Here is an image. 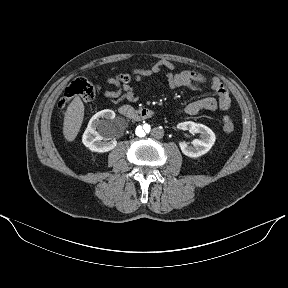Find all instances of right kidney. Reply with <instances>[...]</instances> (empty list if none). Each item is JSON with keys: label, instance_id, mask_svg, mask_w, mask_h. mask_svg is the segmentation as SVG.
<instances>
[{"label": "right kidney", "instance_id": "ca27d5eb", "mask_svg": "<svg viewBox=\"0 0 288 288\" xmlns=\"http://www.w3.org/2000/svg\"><path fill=\"white\" fill-rule=\"evenodd\" d=\"M115 117L112 110H103L96 113L89 121L83 134V144L93 152L104 153L115 148L116 140L110 138L105 125Z\"/></svg>", "mask_w": 288, "mask_h": 288}]
</instances>
